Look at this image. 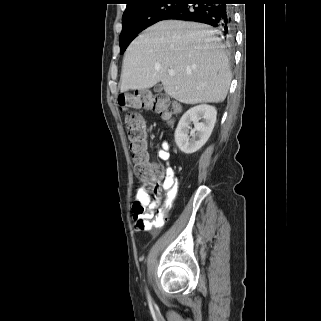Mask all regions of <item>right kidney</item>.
I'll list each match as a JSON object with an SVG mask.
<instances>
[{"label": "right kidney", "instance_id": "1", "mask_svg": "<svg viewBox=\"0 0 321 321\" xmlns=\"http://www.w3.org/2000/svg\"><path fill=\"white\" fill-rule=\"evenodd\" d=\"M215 107L201 104L190 108L181 117L175 130V142L185 154L198 151L209 139L216 123ZM203 119V122H199ZM194 124V129L190 124Z\"/></svg>", "mask_w": 321, "mask_h": 321}]
</instances>
